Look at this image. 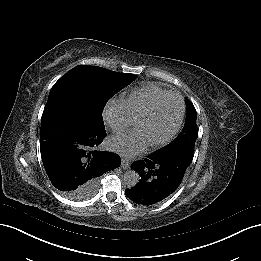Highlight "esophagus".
<instances>
[{
	"label": "esophagus",
	"mask_w": 261,
	"mask_h": 261,
	"mask_svg": "<svg viewBox=\"0 0 261 261\" xmlns=\"http://www.w3.org/2000/svg\"><path fill=\"white\" fill-rule=\"evenodd\" d=\"M129 166H130L129 160L126 159V158H123V159H122L121 167H122L123 169H127V168H129Z\"/></svg>",
	"instance_id": "obj_1"
}]
</instances>
